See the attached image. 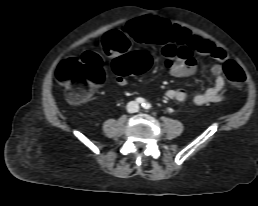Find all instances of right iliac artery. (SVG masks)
I'll list each match as a JSON object with an SVG mask.
<instances>
[{"mask_svg": "<svg viewBox=\"0 0 258 206\" xmlns=\"http://www.w3.org/2000/svg\"><path fill=\"white\" fill-rule=\"evenodd\" d=\"M136 101L138 103H141L142 105L145 104V100L143 98H141V97L137 98Z\"/></svg>", "mask_w": 258, "mask_h": 206, "instance_id": "1", "label": "right iliac artery"}]
</instances>
